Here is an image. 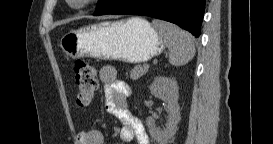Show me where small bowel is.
I'll list each match as a JSON object with an SVG mask.
<instances>
[{
    "mask_svg": "<svg viewBox=\"0 0 273 144\" xmlns=\"http://www.w3.org/2000/svg\"><path fill=\"white\" fill-rule=\"evenodd\" d=\"M100 81L105 85V106L109 113L121 123L120 139L129 143L136 140L138 144H149L150 139L141 121L128 108L130 91L127 85L118 79L117 71L104 66L99 71ZM104 134L98 129L80 131L77 134L78 144H104Z\"/></svg>",
    "mask_w": 273,
    "mask_h": 144,
    "instance_id": "small-bowel-1",
    "label": "small bowel"
}]
</instances>
